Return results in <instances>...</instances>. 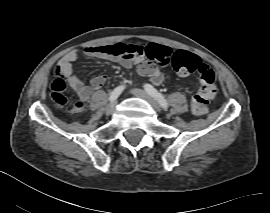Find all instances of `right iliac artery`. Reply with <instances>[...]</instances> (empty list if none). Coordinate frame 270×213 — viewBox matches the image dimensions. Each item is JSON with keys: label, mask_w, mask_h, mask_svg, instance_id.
Returning <instances> with one entry per match:
<instances>
[{"label": "right iliac artery", "mask_w": 270, "mask_h": 213, "mask_svg": "<svg viewBox=\"0 0 270 213\" xmlns=\"http://www.w3.org/2000/svg\"><path fill=\"white\" fill-rule=\"evenodd\" d=\"M125 88V85H121V86H118L117 88H115L110 96H109V101L112 103V102H115L116 99L119 97V95L122 93V91L124 90Z\"/></svg>", "instance_id": "1"}]
</instances>
